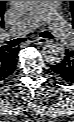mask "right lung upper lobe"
I'll use <instances>...</instances> for the list:
<instances>
[{
	"label": "right lung upper lobe",
	"instance_id": "1",
	"mask_svg": "<svg viewBox=\"0 0 74 122\" xmlns=\"http://www.w3.org/2000/svg\"><path fill=\"white\" fill-rule=\"evenodd\" d=\"M4 9L5 2L0 1V30L4 27ZM17 51L18 48L0 46V68H7L12 63Z\"/></svg>",
	"mask_w": 74,
	"mask_h": 122
}]
</instances>
